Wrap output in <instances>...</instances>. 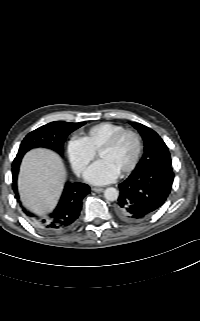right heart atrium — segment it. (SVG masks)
Returning <instances> with one entry per match:
<instances>
[{
  "label": "right heart atrium",
  "instance_id": "right-heart-atrium-1",
  "mask_svg": "<svg viewBox=\"0 0 200 321\" xmlns=\"http://www.w3.org/2000/svg\"><path fill=\"white\" fill-rule=\"evenodd\" d=\"M66 153L73 169L78 174H82L95 157V152L80 137H72L67 142Z\"/></svg>",
  "mask_w": 200,
  "mask_h": 321
}]
</instances>
